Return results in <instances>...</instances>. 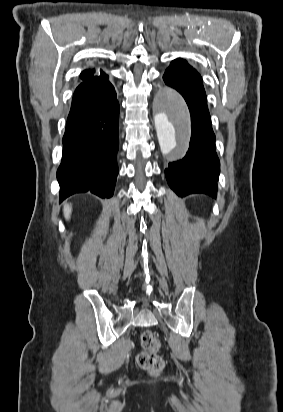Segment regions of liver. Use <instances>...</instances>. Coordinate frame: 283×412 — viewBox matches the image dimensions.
<instances>
[{
  "label": "liver",
  "instance_id": "6515ba94",
  "mask_svg": "<svg viewBox=\"0 0 283 412\" xmlns=\"http://www.w3.org/2000/svg\"><path fill=\"white\" fill-rule=\"evenodd\" d=\"M71 212H72V206L69 204H64L63 213H64V217L66 220L70 219Z\"/></svg>",
  "mask_w": 283,
  "mask_h": 412
}]
</instances>
